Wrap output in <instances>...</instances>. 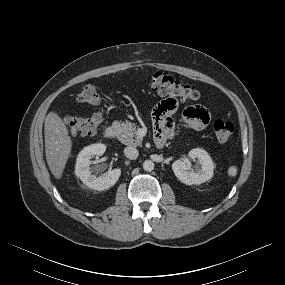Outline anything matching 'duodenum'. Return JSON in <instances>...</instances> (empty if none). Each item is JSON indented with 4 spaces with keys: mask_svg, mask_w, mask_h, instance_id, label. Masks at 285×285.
<instances>
[{
    "mask_svg": "<svg viewBox=\"0 0 285 285\" xmlns=\"http://www.w3.org/2000/svg\"><path fill=\"white\" fill-rule=\"evenodd\" d=\"M117 129L115 126H107L103 131V136L107 140H112L115 138ZM166 142L165 137H156V145L159 148H162Z\"/></svg>",
    "mask_w": 285,
    "mask_h": 285,
    "instance_id": "1",
    "label": "duodenum"
}]
</instances>
